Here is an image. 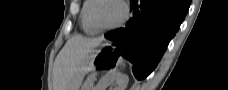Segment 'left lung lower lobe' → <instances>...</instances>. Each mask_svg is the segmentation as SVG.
<instances>
[{
  "instance_id": "1",
  "label": "left lung lower lobe",
  "mask_w": 228,
  "mask_h": 90,
  "mask_svg": "<svg viewBox=\"0 0 228 90\" xmlns=\"http://www.w3.org/2000/svg\"><path fill=\"white\" fill-rule=\"evenodd\" d=\"M132 17L125 28L105 34L133 65L137 79L157 66L190 6L188 0H130Z\"/></svg>"
}]
</instances>
